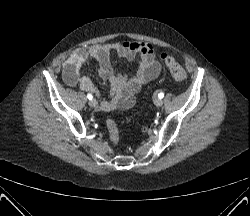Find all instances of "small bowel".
<instances>
[{"mask_svg":"<svg viewBox=\"0 0 250 216\" xmlns=\"http://www.w3.org/2000/svg\"><path fill=\"white\" fill-rule=\"evenodd\" d=\"M112 53L128 61L139 57L136 72L129 76L115 71L110 61ZM90 59L97 61L99 76L111 84L109 99L99 101V108L103 111L131 107L143 85L158 77L161 72L153 47L146 42H112L79 49L64 62V82L71 87L78 85L83 91L92 92L96 96L99 94L91 79L79 75L81 67Z\"/></svg>","mask_w":250,"mask_h":216,"instance_id":"c3829d8e","label":"small bowel"}]
</instances>
